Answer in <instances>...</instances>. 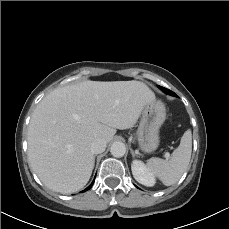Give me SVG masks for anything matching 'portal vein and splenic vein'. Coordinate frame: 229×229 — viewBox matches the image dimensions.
<instances>
[{
    "label": "portal vein and splenic vein",
    "mask_w": 229,
    "mask_h": 229,
    "mask_svg": "<svg viewBox=\"0 0 229 229\" xmlns=\"http://www.w3.org/2000/svg\"><path fill=\"white\" fill-rule=\"evenodd\" d=\"M164 157H165L166 159H169L170 154H169L168 152H166L165 155H164Z\"/></svg>",
    "instance_id": "18ae733b"
}]
</instances>
